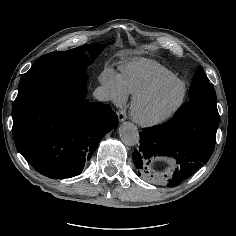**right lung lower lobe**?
<instances>
[{
	"label": "right lung lower lobe",
	"instance_id": "right-lung-lower-lobe-1",
	"mask_svg": "<svg viewBox=\"0 0 236 236\" xmlns=\"http://www.w3.org/2000/svg\"><path fill=\"white\" fill-rule=\"evenodd\" d=\"M86 78L85 70H80L33 84L13 103L16 148L49 178L79 175L100 140L118 127L109 105L85 100Z\"/></svg>",
	"mask_w": 236,
	"mask_h": 236
}]
</instances>
